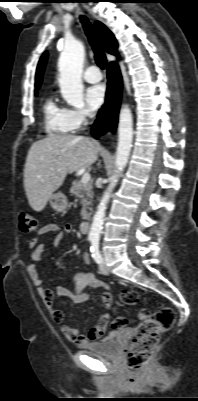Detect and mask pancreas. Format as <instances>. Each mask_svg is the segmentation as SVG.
<instances>
[{
  "mask_svg": "<svg viewBox=\"0 0 198 401\" xmlns=\"http://www.w3.org/2000/svg\"><path fill=\"white\" fill-rule=\"evenodd\" d=\"M70 193L72 196L80 198V204L82 206L81 216L82 219H89L91 212L87 211L88 209L91 211L89 206L92 204L93 198V186L91 183L83 184L79 181H73L72 186L70 188Z\"/></svg>",
  "mask_w": 198,
  "mask_h": 401,
  "instance_id": "cf45deb5",
  "label": "pancreas"
}]
</instances>
